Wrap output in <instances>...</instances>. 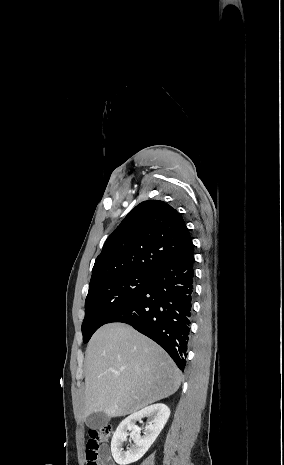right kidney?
Wrapping results in <instances>:
<instances>
[{
	"label": "right kidney",
	"instance_id": "1",
	"mask_svg": "<svg viewBox=\"0 0 284 465\" xmlns=\"http://www.w3.org/2000/svg\"><path fill=\"white\" fill-rule=\"evenodd\" d=\"M144 417H148L150 423L146 425L143 437H141L140 433L133 435L131 439L134 441L135 445H131L128 451H124L122 445L123 441H126V437H128L127 431H136V429H138L135 425L136 421H140V419H144ZM169 417L170 409H168L167 405L157 403V405L145 407L142 411L133 413V415L124 419V421L120 423L118 429H116L111 441V453L114 461H116L118 465H130V463L139 461V459L147 453L149 447H151L158 435H160Z\"/></svg>",
	"mask_w": 284,
	"mask_h": 465
}]
</instances>
